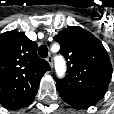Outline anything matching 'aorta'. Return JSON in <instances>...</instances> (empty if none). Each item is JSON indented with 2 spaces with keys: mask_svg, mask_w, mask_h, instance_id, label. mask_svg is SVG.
<instances>
[{
  "mask_svg": "<svg viewBox=\"0 0 114 114\" xmlns=\"http://www.w3.org/2000/svg\"><path fill=\"white\" fill-rule=\"evenodd\" d=\"M55 69H56V74L59 77H62L65 74L66 71V65L65 61L61 57H57L55 59Z\"/></svg>",
  "mask_w": 114,
  "mask_h": 114,
  "instance_id": "aorta-1",
  "label": "aorta"
}]
</instances>
